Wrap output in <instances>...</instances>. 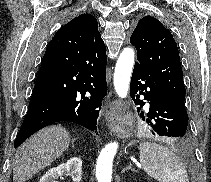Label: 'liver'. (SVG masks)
Segmentation results:
<instances>
[{
  "mask_svg": "<svg viewBox=\"0 0 211 182\" xmlns=\"http://www.w3.org/2000/svg\"><path fill=\"white\" fill-rule=\"evenodd\" d=\"M70 135L61 126L44 128L27 139L13 160V181L26 182L50 165L69 147Z\"/></svg>",
  "mask_w": 211,
  "mask_h": 182,
  "instance_id": "1",
  "label": "liver"
}]
</instances>
